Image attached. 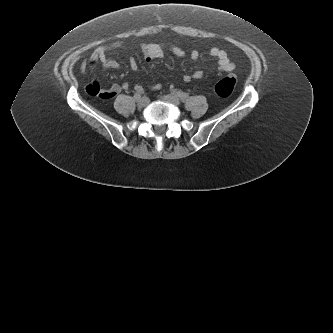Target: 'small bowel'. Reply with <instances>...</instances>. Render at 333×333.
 <instances>
[{
  "label": "small bowel",
  "instance_id": "obj_1",
  "mask_svg": "<svg viewBox=\"0 0 333 333\" xmlns=\"http://www.w3.org/2000/svg\"><path fill=\"white\" fill-rule=\"evenodd\" d=\"M123 44L120 42H114L106 46H98L96 47L90 56L89 64L83 60L79 65V70L81 72H85L88 66L94 70L97 64H101L103 68L106 69H116L118 68V63L111 59L108 56V53L113 50L122 49ZM169 50L177 57L186 56V52L179 46L170 45L168 46ZM164 52V45L161 44H145L142 46V53L146 61H151L154 59L161 58ZM210 56L217 60L218 69L224 72H230L235 68L234 63L229 59L227 53L220 48H212L209 52ZM190 58L192 60H197L199 58V53L196 50H193L190 53ZM130 67L132 70H136L138 68V63L134 57L130 58L129 61ZM204 76V72L202 70H195L191 74H185L183 76V82L189 83L193 79H201ZM128 83H123L122 85L113 84L108 90H101L100 85L97 81H94L85 86V90L90 95H98L104 99H110L120 93L122 90L129 89ZM153 90H159L161 88L160 84H154L151 86ZM135 90L137 92H143V88L139 85L135 86Z\"/></svg>",
  "mask_w": 333,
  "mask_h": 333
}]
</instances>
